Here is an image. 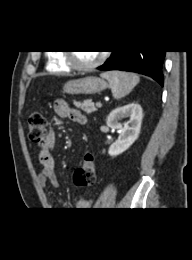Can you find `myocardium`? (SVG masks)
<instances>
[{"label": "myocardium", "instance_id": "obj_1", "mask_svg": "<svg viewBox=\"0 0 192 260\" xmlns=\"http://www.w3.org/2000/svg\"><path fill=\"white\" fill-rule=\"evenodd\" d=\"M64 60L66 63L73 69L77 71H91L99 67L106 59V53L101 54L97 60L90 64H80L76 61L75 55L72 51H65L64 52Z\"/></svg>", "mask_w": 192, "mask_h": 260}]
</instances>
